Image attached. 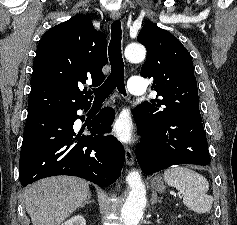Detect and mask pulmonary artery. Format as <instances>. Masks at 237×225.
I'll use <instances>...</instances> for the list:
<instances>
[{
  "instance_id": "obj_1",
  "label": "pulmonary artery",
  "mask_w": 237,
  "mask_h": 225,
  "mask_svg": "<svg viewBox=\"0 0 237 225\" xmlns=\"http://www.w3.org/2000/svg\"><path fill=\"white\" fill-rule=\"evenodd\" d=\"M128 90L134 95H143L145 89L143 87L142 79L139 77H131L128 82Z\"/></svg>"
}]
</instances>
